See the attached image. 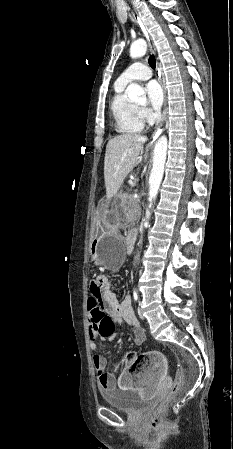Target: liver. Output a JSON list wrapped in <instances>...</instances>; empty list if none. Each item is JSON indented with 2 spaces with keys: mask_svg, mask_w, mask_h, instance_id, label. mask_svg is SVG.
<instances>
[{
  "mask_svg": "<svg viewBox=\"0 0 233 449\" xmlns=\"http://www.w3.org/2000/svg\"><path fill=\"white\" fill-rule=\"evenodd\" d=\"M147 138L136 133H127L109 140L104 158V180L106 197L115 196L138 161L143 143Z\"/></svg>",
  "mask_w": 233,
  "mask_h": 449,
  "instance_id": "obj_1",
  "label": "liver"
}]
</instances>
